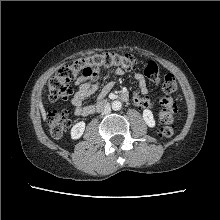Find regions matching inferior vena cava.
<instances>
[{"instance_id":"obj_1","label":"inferior vena cava","mask_w":220,"mask_h":220,"mask_svg":"<svg viewBox=\"0 0 220 220\" xmlns=\"http://www.w3.org/2000/svg\"><path fill=\"white\" fill-rule=\"evenodd\" d=\"M110 110H111V107H110V104L108 103L98 107V111L102 114H107L110 112Z\"/></svg>"}]
</instances>
